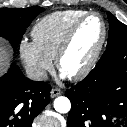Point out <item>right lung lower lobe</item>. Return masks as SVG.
Masks as SVG:
<instances>
[{
    "mask_svg": "<svg viewBox=\"0 0 127 127\" xmlns=\"http://www.w3.org/2000/svg\"><path fill=\"white\" fill-rule=\"evenodd\" d=\"M51 86L27 79L12 64L0 78V127H31L50 100Z\"/></svg>",
    "mask_w": 127,
    "mask_h": 127,
    "instance_id": "obj_1",
    "label": "right lung lower lobe"
}]
</instances>
